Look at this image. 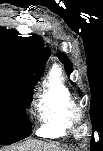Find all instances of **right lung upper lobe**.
Wrapping results in <instances>:
<instances>
[{
	"mask_svg": "<svg viewBox=\"0 0 103 151\" xmlns=\"http://www.w3.org/2000/svg\"><path fill=\"white\" fill-rule=\"evenodd\" d=\"M14 29L0 28V78L9 86L39 79L50 56L39 35L21 37Z\"/></svg>",
	"mask_w": 103,
	"mask_h": 151,
	"instance_id": "1",
	"label": "right lung upper lobe"
}]
</instances>
